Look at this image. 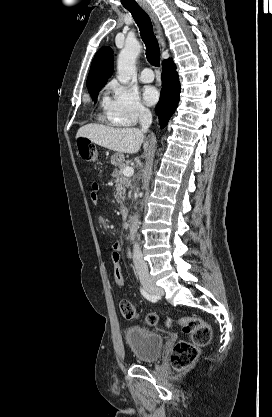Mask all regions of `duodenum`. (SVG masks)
<instances>
[{
	"mask_svg": "<svg viewBox=\"0 0 272 417\" xmlns=\"http://www.w3.org/2000/svg\"><path fill=\"white\" fill-rule=\"evenodd\" d=\"M120 212H121V214L124 218L128 217L129 210H128V207L126 205L121 206Z\"/></svg>",
	"mask_w": 272,
	"mask_h": 417,
	"instance_id": "1",
	"label": "duodenum"
}]
</instances>
